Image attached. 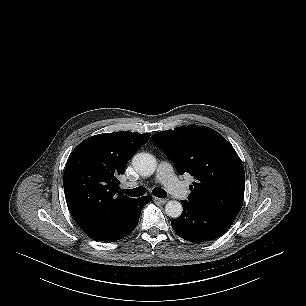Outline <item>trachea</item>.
Wrapping results in <instances>:
<instances>
[{"mask_svg": "<svg viewBox=\"0 0 306 306\" xmlns=\"http://www.w3.org/2000/svg\"><path fill=\"white\" fill-rule=\"evenodd\" d=\"M123 193L131 196V197H139V196H142L146 193V189L144 187H137V188H134L132 190H129V189H126V190H123ZM153 195L158 197V198H166V191L162 188H154L153 191H152Z\"/></svg>", "mask_w": 306, "mask_h": 306, "instance_id": "1", "label": "trachea"}]
</instances>
